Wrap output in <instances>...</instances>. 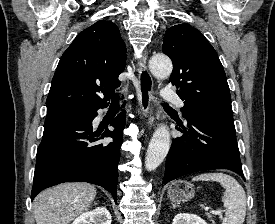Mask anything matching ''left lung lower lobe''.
<instances>
[{
    "mask_svg": "<svg viewBox=\"0 0 275 224\" xmlns=\"http://www.w3.org/2000/svg\"><path fill=\"white\" fill-rule=\"evenodd\" d=\"M177 124L184 135L172 140L163 184L204 170L228 169L243 176L233 120L197 115L185 126Z\"/></svg>",
    "mask_w": 275,
    "mask_h": 224,
    "instance_id": "1",
    "label": "left lung lower lobe"
}]
</instances>
